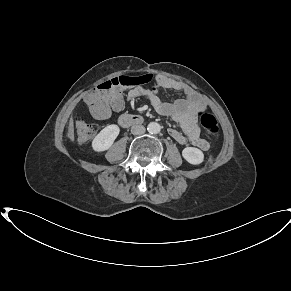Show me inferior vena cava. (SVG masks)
I'll return each instance as SVG.
<instances>
[{"label":"inferior vena cava","instance_id":"inferior-vena-cava-1","mask_svg":"<svg viewBox=\"0 0 291 291\" xmlns=\"http://www.w3.org/2000/svg\"><path fill=\"white\" fill-rule=\"evenodd\" d=\"M145 127L142 125H133L131 127V133L134 135H141L145 132Z\"/></svg>","mask_w":291,"mask_h":291}]
</instances>
